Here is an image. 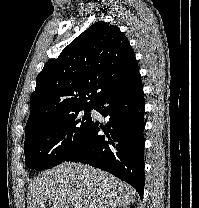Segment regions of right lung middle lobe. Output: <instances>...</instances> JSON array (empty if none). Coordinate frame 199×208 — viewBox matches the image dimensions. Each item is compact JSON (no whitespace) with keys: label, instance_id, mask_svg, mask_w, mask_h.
<instances>
[{"label":"right lung middle lobe","instance_id":"1","mask_svg":"<svg viewBox=\"0 0 199 208\" xmlns=\"http://www.w3.org/2000/svg\"><path fill=\"white\" fill-rule=\"evenodd\" d=\"M90 109L92 106L76 109L26 134V166L30 169L44 170L64 162L78 147L92 123Z\"/></svg>","mask_w":199,"mask_h":208}]
</instances>
